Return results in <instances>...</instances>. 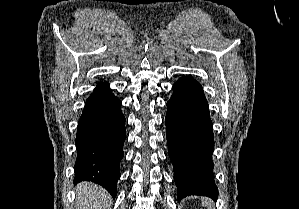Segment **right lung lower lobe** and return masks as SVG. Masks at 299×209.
Returning a JSON list of instances; mask_svg holds the SVG:
<instances>
[{"label":"right lung lower lobe","instance_id":"right-lung-lower-lobe-1","mask_svg":"<svg viewBox=\"0 0 299 209\" xmlns=\"http://www.w3.org/2000/svg\"><path fill=\"white\" fill-rule=\"evenodd\" d=\"M121 101L100 83L86 100L79 119L74 183L91 181L117 195L120 161L126 138Z\"/></svg>","mask_w":299,"mask_h":209}]
</instances>
